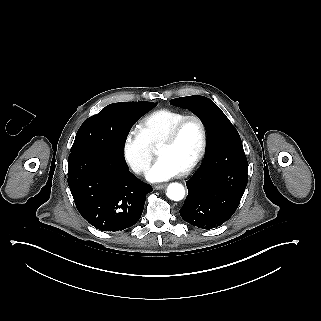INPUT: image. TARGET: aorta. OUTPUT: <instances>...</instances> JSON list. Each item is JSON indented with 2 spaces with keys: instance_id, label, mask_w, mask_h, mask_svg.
I'll list each match as a JSON object with an SVG mask.
<instances>
[{
  "instance_id": "aorta-1",
  "label": "aorta",
  "mask_w": 321,
  "mask_h": 321,
  "mask_svg": "<svg viewBox=\"0 0 321 321\" xmlns=\"http://www.w3.org/2000/svg\"><path fill=\"white\" fill-rule=\"evenodd\" d=\"M167 196L174 201H180L185 196V189L183 185L179 183H171L167 188Z\"/></svg>"
}]
</instances>
